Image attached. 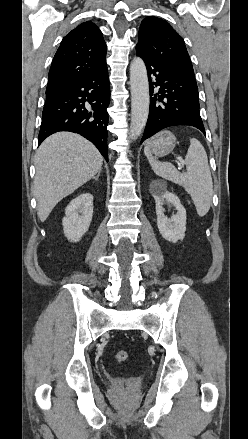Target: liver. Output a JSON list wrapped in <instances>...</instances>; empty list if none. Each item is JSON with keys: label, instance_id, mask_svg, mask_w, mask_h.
I'll use <instances>...</instances> for the list:
<instances>
[{"label": "liver", "instance_id": "1", "mask_svg": "<svg viewBox=\"0 0 248 439\" xmlns=\"http://www.w3.org/2000/svg\"><path fill=\"white\" fill-rule=\"evenodd\" d=\"M102 164V155L84 137L70 132L49 136L35 155L33 193L41 222L58 202L94 178Z\"/></svg>", "mask_w": 248, "mask_h": 439}]
</instances>
